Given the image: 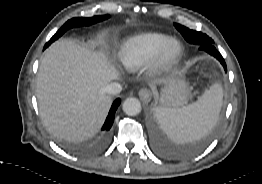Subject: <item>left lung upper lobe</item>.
<instances>
[{
    "label": "left lung upper lobe",
    "mask_w": 262,
    "mask_h": 184,
    "mask_svg": "<svg viewBox=\"0 0 262 184\" xmlns=\"http://www.w3.org/2000/svg\"><path fill=\"white\" fill-rule=\"evenodd\" d=\"M174 26L182 34L185 40L191 44H197L200 46L204 44H213L214 43V41L206 34H203L198 31L190 30L189 28L183 25L177 24V23H174Z\"/></svg>",
    "instance_id": "left-lung-upper-lobe-1"
}]
</instances>
